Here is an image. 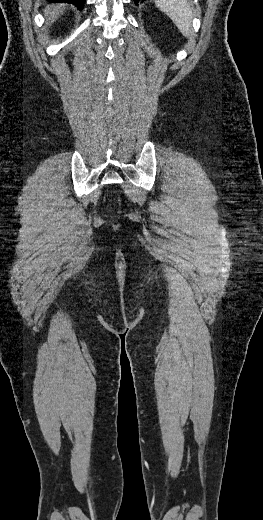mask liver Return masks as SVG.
Returning <instances> with one entry per match:
<instances>
[{
	"label": "liver",
	"instance_id": "1",
	"mask_svg": "<svg viewBox=\"0 0 263 520\" xmlns=\"http://www.w3.org/2000/svg\"><path fill=\"white\" fill-rule=\"evenodd\" d=\"M65 4H57V5H48L44 10V15L47 18V25L52 24L55 22L59 15L63 13V10H65Z\"/></svg>",
	"mask_w": 263,
	"mask_h": 520
}]
</instances>
